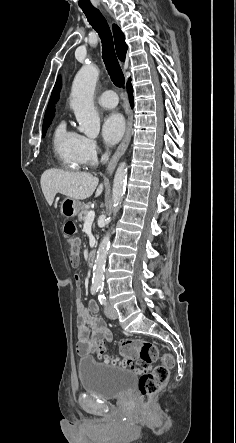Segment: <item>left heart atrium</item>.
Returning <instances> with one entry per match:
<instances>
[{
    "mask_svg": "<svg viewBox=\"0 0 236 443\" xmlns=\"http://www.w3.org/2000/svg\"><path fill=\"white\" fill-rule=\"evenodd\" d=\"M125 131V121L121 114L111 112L105 115L101 123L104 140L109 144L118 142Z\"/></svg>",
    "mask_w": 236,
    "mask_h": 443,
    "instance_id": "left-heart-atrium-1",
    "label": "left heart atrium"
}]
</instances>
